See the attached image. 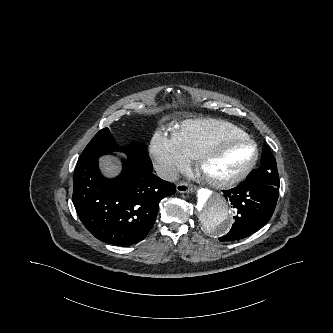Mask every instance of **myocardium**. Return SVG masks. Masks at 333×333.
<instances>
[{"label": "myocardium", "instance_id": "1", "mask_svg": "<svg viewBox=\"0 0 333 333\" xmlns=\"http://www.w3.org/2000/svg\"><path fill=\"white\" fill-rule=\"evenodd\" d=\"M228 141H240L248 145L252 151L250 158L238 171L229 176L215 178L207 175L203 170L205 162L207 161L211 153L220 144ZM257 160H258V147L256 142L252 140L249 136H241L236 134L221 135L212 139L198 152V154L194 158L197 171L201 174L206 183L217 189L230 188L239 183L250 173V171L255 166Z\"/></svg>", "mask_w": 333, "mask_h": 333}]
</instances>
